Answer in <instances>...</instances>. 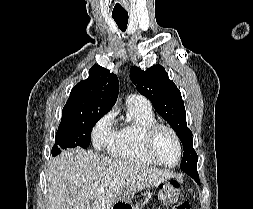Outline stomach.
<instances>
[{
    "label": "stomach",
    "mask_w": 253,
    "mask_h": 209,
    "mask_svg": "<svg viewBox=\"0 0 253 209\" xmlns=\"http://www.w3.org/2000/svg\"><path fill=\"white\" fill-rule=\"evenodd\" d=\"M122 186L124 190L119 191V196H116L115 203L111 209H135V206H132V191L130 190H145L144 181H122ZM150 186H155V181H150ZM131 186V187H130ZM169 189V184L167 182L158 183V187H155V192H161V199L166 201V193Z\"/></svg>",
    "instance_id": "obj_1"
}]
</instances>
